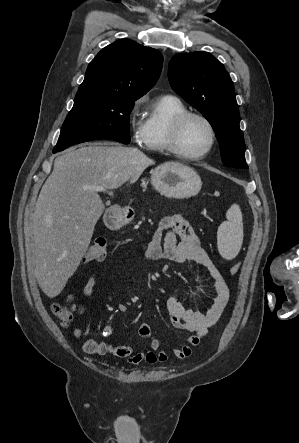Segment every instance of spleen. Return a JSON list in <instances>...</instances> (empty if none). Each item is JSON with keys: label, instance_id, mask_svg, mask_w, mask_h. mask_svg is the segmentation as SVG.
I'll use <instances>...</instances> for the list:
<instances>
[{"label": "spleen", "instance_id": "spleen-1", "mask_svg": "<svg viewBox=\"0 0 299 443\" xmlns=\"http://www.w3.org/2000/svg\"><path fill=\"white\" fill-rule=\"evenodd\" d=\"M226 219L218 228L217 243L220 255L231 260L237 256L243 242L242 213L237 204L228 209Z\"/></svg>", "mask_w": 299, "mask_h": 443}]
</instances>
